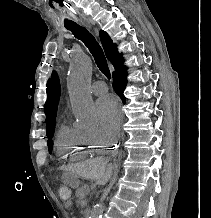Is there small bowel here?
Here are the masks:
<instances>
[{
    "label": "small bowel",
    "mask_w": 211,
    "mask_h": 218,
    "mask_svg": "<svg viewBox=\"0 0 211 218\" xmlns=\"http://www.w3.org/2000/svg\"><path fill=\"white\" fill-rule=\"evenodd\" d=\"M65 205H66V207H71V206H72V201H67V202L65 203Z\"/></svg>",
    "instance_id": "1"
}]
</instances>
